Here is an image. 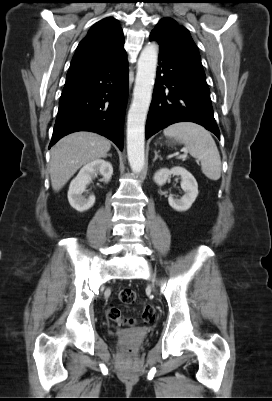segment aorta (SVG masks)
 Masks as SVG:
<instances>
[{
	"mask_svg": "<svg viewBox=\"0 0 272 401\" xmlns=\"http://www.w3.org/2000/svg\"><path fill=\"white\" fill-rule=\"evenodd\" d=\"M158 46L148 43L137 63L133 99L127 117V155L131 169L139 173L144 167L145 121L156 76Z\"/></svg>",
	"mask_w": 272,
	"mask_h": 401,
	"instance_id": "1",
	"label": "aorta"
}]
</instances>
